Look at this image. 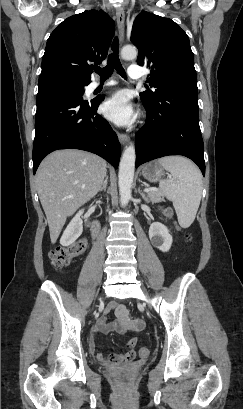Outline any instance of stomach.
<instances>
[{
    "instance_id": "stomach-1",
    "label": "stomach",
    "mask_w": 243,
    "mask_h": 409,
    "mask_svg": "<svg viewBox=\"0 0 243 409\" xmlns=\"http://www.w3.org/2000/svg\"><path fill=\"white\" fill-rule=\"evenodd\" d=\"M142 175L150 182L162 181V177L164 176V168L158 161H153L143 167Z\"/></svg>"
}]
</instances>
